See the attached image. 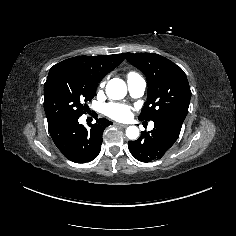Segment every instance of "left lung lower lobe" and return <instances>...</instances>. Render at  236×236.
Masks as SVG:
<instances>
[{
    "label": "left lung lower lobe",
    "mask_w": 236,
    "mask_h": 236,
    "mask_svg": "<svg viewBox=\"0 0 236 236\" xmlns=\"http://www.w3.org/2000/svg\"><path fill=\"white\" fill-rule=\"evenodd\" d=\"M185 117L168 114L154 120V129L142 132L136 141H129L131 154L139 161L149 162L161 159L179 137Z\"/></svg>",
    "instance_id": "1"
}]
</instances>
